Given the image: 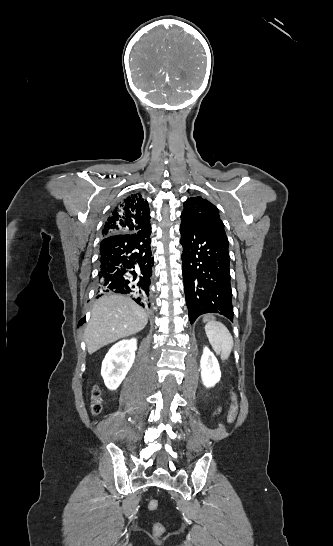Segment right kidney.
<instances>
[{"label":"right kidney","instance_id":"1","mask_svg":"<svg viewBox=\"0 0 333 546\" xmlns=\"http://www.w3.org/2000/svg\"><path fill=\"white\" fill-rule=\"evenodd\" d=\"M137 340H122L106 354L101 368V375L109 390H115L125 378L135 359Z\"/></svg>","mask_w":333,"mask_h":546}]
</instances>
